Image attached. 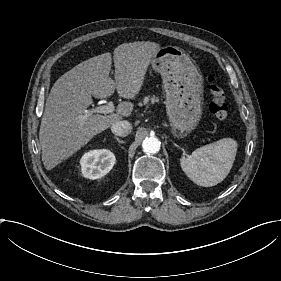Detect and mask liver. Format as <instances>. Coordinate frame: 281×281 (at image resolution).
Instances as JSON below:
<instances>
[{
  "label": "liver",
  "instance_id": "1",
  "mask_svg": "<svg viewBox=\"0 0 281 281\" xmlns=\"http://www.w3.org/2000/svg\"><path fill=\"white\" fill-rule=\"evenodd\" d=\"M159 45L150 41L123 43L114 49V78L109 76L110 53L91 57L64 73L50 90L46 100L39 140L46 169L74 153L94 135L128 116L133 105L121 102L117 114H89L92 96L106 98L117 90L119 96L133 98Z\"/></svg>",
  "mask_w": 281,
  "mask_h": 281
}]
</instances>
